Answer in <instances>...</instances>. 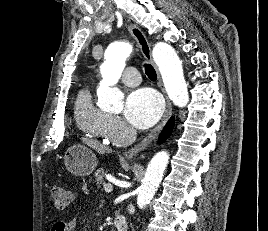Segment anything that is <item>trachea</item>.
<instances>
[{
    "label": "trachea",
    "instance_id": "3493384b",
    "mask_svg": "<svg viewBox=\"0 0 268 231\" xmlns=\"http://www.w3.org/2000/svg\"><path fill=\"white\" fill-rule=\"evenodd\" d=\"M145 73L151 80H156L157 75L155 69L152 67V65L147 64L145 65Z\"/></svg>",
    "mask_w": 268,
    "mask_h": 231
}]
</instances>
